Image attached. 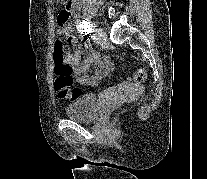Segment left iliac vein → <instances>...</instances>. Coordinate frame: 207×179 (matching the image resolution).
<instances>
[{
    "label": "left iliac vein",
    "instance_id": "left-iliac-vein-1",
    "mask_svg": "<svg viewBox=\"0 0 207 179\" xmlns=\"http://www.w3.org/2000/svg\"><path fill=\"white\" fill-rule=\"evenodd\" d=\"M106 42H107V34H106V32L103 29L98 28L97 32H96V43L98 45H103Z\"/></svg>",
    "mask_w": 207,
    "mask_h": 179
}]
</instances>
